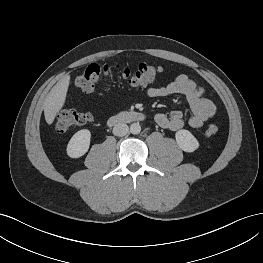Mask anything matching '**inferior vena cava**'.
Listing matches in <instances>:
<instances>
[{
  "mask_svg": "<svg viewBox=\"0 0 263 263\" xmlns=\"http://www.w3.org/2000/svg\"><path fill=\"white\" fill-rule=\"evenodd\" d=\"M129 132V127L125 123H118L113 128V134L115 136H125Z\"/></svg>",
  "mask_w": 263,
  "mask_h": 263,
  "instance_id": "inferior-vena-cava-1",
  "label": "inferior vena cava"
}]
</instances>
